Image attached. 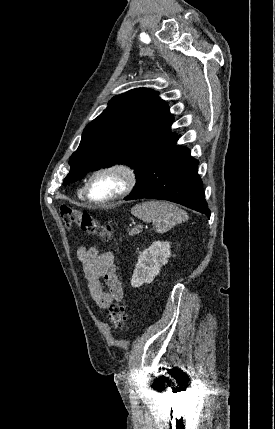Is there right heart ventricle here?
Returning <instances> with one entry per match:
<instances>
[{
    "instance_id": "obj_1",
    "label": "right heart ventricle",
    "mask_w": 275,
    "mask_h": 429,
    "mask_svg": "<svg viewBox=\"0 0 275 429\" xmlns=\"http://www.w3.org/2000/svg\"><path fill=\"white\" fill-rule=\"evenodd\" d=\"M82 191H83V190H81V191H80V194H82Z\"/></svg>"
}]
</instances>
